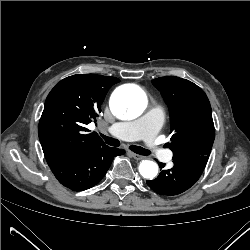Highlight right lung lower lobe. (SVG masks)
<instances>
[{"label": "right lung lower lobe", "mask_w": 250, "mask_h": 250, "mask_svg": "<svg viewBox=\"0 0 250 250\" xmlns=\"http://www.w3.org/2000/svg\"><path fill=\"white\" fill-rule=\"evenodd\" d=\"M123 149L106 145L90 148L77 157L49 164L57 180L73 191H83L96 185L106 174L115 156Z\"/></svg>", "instance_id": "right-lung-lower-lobe-1"}]
</instances>
